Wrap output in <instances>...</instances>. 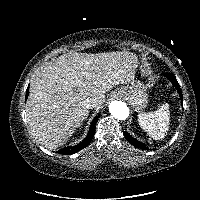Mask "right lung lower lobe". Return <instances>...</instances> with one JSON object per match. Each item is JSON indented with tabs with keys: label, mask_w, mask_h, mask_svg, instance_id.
Wrapping results in <instances>:
<instances>
[{
	"label": "right lung lower lobe",
	"mask_w": 200,
	"mask_h": 200,
	"mask_svg": "<svg viewBox=\"0 0 200 200\" xmlns=\"http://www.w3.org/2000/svg\"><path fill=\"white\" fill-rule=\"evenodd\" d=\"M28 94H29V87L26 90V98H27ZM98 117L99 116L95 117L94 120L92 121L89 133H88L87 137L82 142H80L78 145L73 146V147H65V148L61 149L59 152L61 154H64V155H68V154L76 153L79 150H81L84 147H86L91 142V140L94 137V134H95V125L97 123Z\"/></svg>",
	"instance_id": "right-lung-lower-lobe-1"
}]
</instances>
